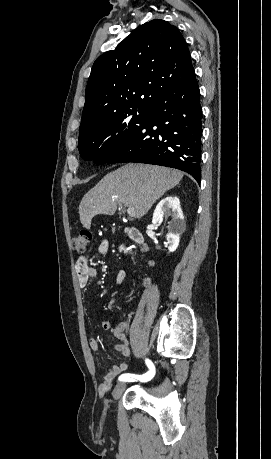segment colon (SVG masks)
Listing matches in <instances>:
<instances>
[{
	"label": "colon",
	"instance_id": "colon-1",
	"mask_svg": "<svg viewBox=\"0 0 271 459\" xmlns=\"http://www.w3.org/2000/svg\"><path fill=\"white\" fill-rule=\"evenodd\" d=\"M92 239L90 231L83 229L77 232L72 238V247L75 251L83 253L87 250L88 244Z\"/></svg>",
	"mask_w": 271,
	"mask_h": 459
}]
</instances>
